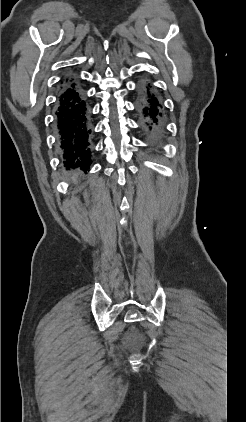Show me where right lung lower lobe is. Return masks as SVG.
Segmentation results:
<instances>
[{
    "mask_svg": "<svg viewBox=\"0 0 246 422\" xmlns=\"http://www.w3.org/2000/svg\"><path fill=\"white\" fill-rule=\"evenodd\" d=\"M89 107L76 81L62 84L57 97L55 128L64 166L87 171L91 164Z\"/></svg>",
    "mask_w": 246,
    "mask_h": 422,
    "instance_id": "98d812e1",
    "label": "right lung lower lobe"
}]
</instances>
